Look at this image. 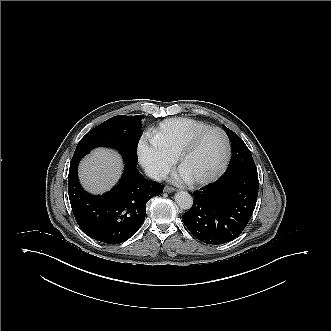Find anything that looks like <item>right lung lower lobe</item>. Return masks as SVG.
Listing matches in <instances>:
<instances>
[{
    "label": "right lung lower lobe",
    "mask_w": 331,
    "mask_h": 331,
    "mask_svg": "<svg viewBox=\"0 0 331 331\" xmlns=\"http://www.w3.org/2000/svg\"><path fill=\"white\" fill-rule=\"evenodd\" d=\"M80 159L71 160L68 194L75 219L92 239L107 244L128 240L142 225L146 203L163 192V185L143 178L136 166L124 162L118 184L101 196L83 190L77 175Z\"/></svg>",
    "instance_id": "98d812e1"
}]
</instances>
